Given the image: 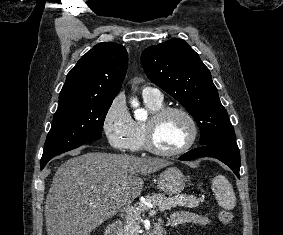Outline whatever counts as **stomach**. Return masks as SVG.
Returning a JSON list of instances; mask_svg holds the SVG:
<instances>
[{"label":"stomach","mask_w":283,"mask_h":235,"mask_svg":"<svg viewBox=\"0 0 283 235\" xmlns=\"http://www.w3.org/2000/svg\"><path fill=\"white\" fill-rule=\"evenodd\" d=\"M186 177L176 167L166 168L158 178V188L168 195H177L185 188Z\"/></svg>","instance_id":"stomach-1"}]
</instances>
